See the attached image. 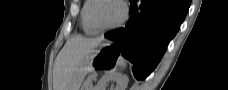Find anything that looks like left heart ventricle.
Listing matches in <instances>:
<instances>
[{"instance_id":"1","label":"left heart ventricle","mask_w":228,"mask_h":90,"mask_svg":"<svg viewBox=\"0 0 228 90\" xmlns=\"http://www.w3.org/2000/svg\"><path fill=\"white\" fill-rule=\"evenodd\" d=\"M122 15L121 6L112 0L100 1L95 8L94 18L101 27L116 23Z\"/></svg>"}]
</instances>
